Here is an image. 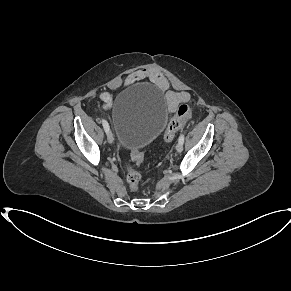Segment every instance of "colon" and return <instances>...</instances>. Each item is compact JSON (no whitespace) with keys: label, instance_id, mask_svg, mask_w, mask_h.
<instances>
[{"label":"colon","instance_id":"colon-1","mask_svg":"<svg viewBox=\"0 0 291 291\" xmlns=\"http://www.w3.org/2000/svg\"><path fill=\"white\" fill-rule=\"evenodd\" d=\"M191 117V111L188 105L182 104L178 107L175 115L170 120L165 133L164 140L167 143L173 141L176 133L183 127L184 123ZM132 160L140 165L144 161V155L139 150L131 151ZM140 174L130 165H127V182L131 190H137L140 182Z\"/></svg>","mask_w":291,"mask_h":291}]
</instances>
